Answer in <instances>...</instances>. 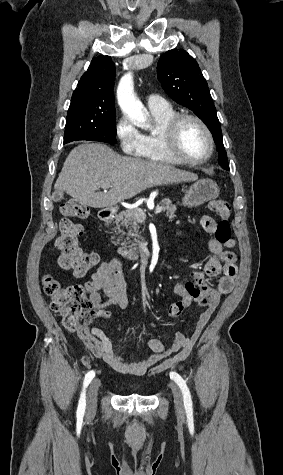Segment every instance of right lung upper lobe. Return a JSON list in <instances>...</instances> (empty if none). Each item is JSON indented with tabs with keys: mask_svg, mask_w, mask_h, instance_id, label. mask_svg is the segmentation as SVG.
Listing matches in <instances>:
<instances>
[{
	"mask_svg": "<svg viewBox=\"0 0 283 475\" xmlns=\"http://www.w3.org/2000/svg\"><path fill=\"white\" fill-rule=\"evenodd\" d=\"M115 65L109 56L94 58L73 92L71 101L101 102L114 105Z\"/></svg>",
	"mask_w": 283,
	"mask_h": 475,
	"instance_id": "cb5924a9",
	"label": "right lung upper lobe"
}]
</instances>
